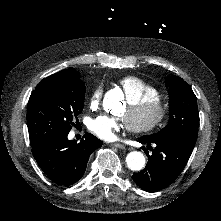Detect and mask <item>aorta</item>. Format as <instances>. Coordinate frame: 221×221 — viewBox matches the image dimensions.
I'll list each match as a JSON object with an SVG mask.
<instances>
[{"label":"aorta","mask_w":221,"mask_h":221,"mask_svg":"<svg viewBox=\"0 0 221 221\" xmlns=\"http://www.w3.org/2000/svg\"><path fill=\"white\" fill-rule=\"evenodd\" d=\"M126 164L132 171L142 170L145 166V157L139 151H133L127 154Z\"/></svg>","instance_id":"762f6f07"}]
</instances>
